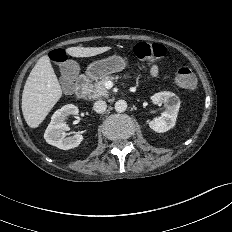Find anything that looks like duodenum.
Wrapping results in <instances>:
<instances>
[{"instance_id": "1", "label": "duodenum", "mask_w": 232, "mask_h": 232, "mask_svg": "<svg viewBox=\"0 0 232 232\" xmlns=\"http://www.w3.org/2000/svg\"><path fill=\"white\" fill-rule=\"evenodd\" d=\"M88 77L87 76H80L76 81V95L79 98H84L87 93V86H88Z\"/></svg>"}]
</instances>
